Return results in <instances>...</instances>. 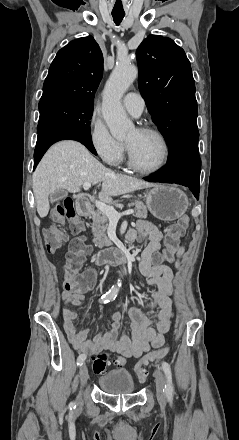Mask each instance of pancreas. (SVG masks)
<instances>
[{
    "label": "pancreas",
    "instance_id": "1",
    "mask_svg": "<svg viewBox=\"0 0 239 440\" xmlns=\"http://www.w3.org/2000/svg\"><path fill=\"white\" fill-rule=\"evenodd\" d=\"M131 206H135L134 210H137L135 214L136 218H147L148 212L143 202H138V200H135V202H131V204H128V208H131ZM92 220L93 224L91 228L92 234L94 236L93 242L95 246H98V248L111 246L112 242L111 240H109V238H107L106 234L109 222L108 216H105V214H103V212H100V210H95V212H93L92 214Z\"/></svg>",
    "mask_w": 239,
    "mask_h": 440
}]
</instances>
